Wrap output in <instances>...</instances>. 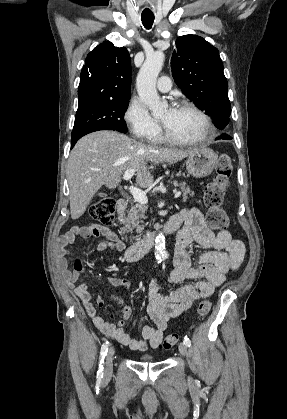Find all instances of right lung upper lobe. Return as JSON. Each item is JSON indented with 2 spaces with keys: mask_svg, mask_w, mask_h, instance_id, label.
<instances>
[{
  "mask_svg": "<svg viewBox=\"0 0 287 419\" xmlns=\"http://www.w3.org/2000/svg\"><path fill=\"white\" fill-rule=\"evenodd\" d=\"M131 63L125 47L104 42L91 51L81 72L78 109L131 96Z\"/></svg>",
  "mask_w": 287,
  "mask_h": 419,
  "instance_id": "right-lung-upper-lobe-1",
  "label": "right lung upper lobe"
}]
</instances>
